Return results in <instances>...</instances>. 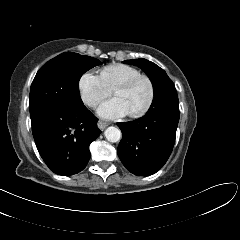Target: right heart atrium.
<instances>
[{"label":"right heart atrium","mask_w":240,"mask_h":240,"mask_svg":"<svg viewBox=\"0 0 240 240\" xmlns=\"http://www.w3.org/2000/svg\"><path fill=\"white\" fill-rule=\"evenodd\" d=\"M78 90L83 103L91 108H95L112 93V89L101 76L93 72H85L81 75Z\"/></svg>","instance_id":"d8ad5b80"}]
</instances>
